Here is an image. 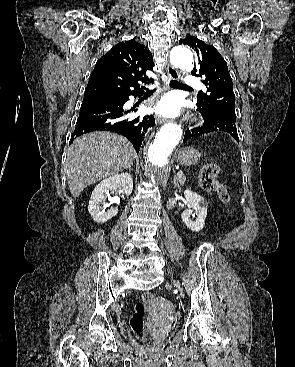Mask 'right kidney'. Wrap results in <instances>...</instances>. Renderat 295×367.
Here are the masks:
<instances>
[{
    "label": "right kidney",
    "mask_w": 295,
    "mask_h": 367,
    "mask_svg": "<svg viewBox=\"0 0 295 367\" xmlns=\"http://www.w3.org/2000/svg\"><path fill=\"white\" fill-rule=\"evenodd\" d=\"M119 191L129 196L133 190V180L128 173L115 174L101 181L93 190L89 200L88 211L94 221L105 223L118 213L117 208H108L107 211L102 208L104 199L109 191Z\"/></svg>",
    "instance_id": "1"
}]
</instances>
